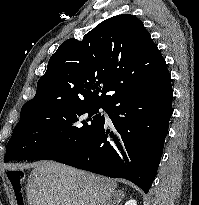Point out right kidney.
Wrapping results in <instances>:
<instances>
[{
	"instance_id": "obj_1",
	"label": "right kidney",
	"mask_w": 199,
	"mask_h": 205,
	"mask_svg": "<svg viewBox=\"0 0 199 205\" xmlns=\"http://www.w3.org/2000/svg\"><path fill=\"white\" fill-rule=\"evenodd\" d=\"M124 205H137V202L135 200H129Z\"/></svg>"
}]
</instances>
